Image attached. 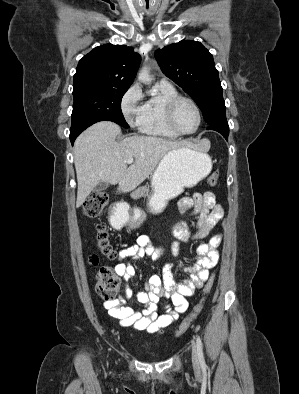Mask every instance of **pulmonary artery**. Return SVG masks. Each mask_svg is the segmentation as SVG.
Returning <instances> with one entry per match:
<instances>
[{"label":"pulmonary artery","instance_id":"obj_1","mask_svg":"<svg viewBox=\"0 0 299 394\" xmlns=\"http://www.w3.org/2000/svg\"><path fill=\"white\" fill-rule=\"evenodd\" d=\"M160 83L165 84V85H171L170 82L165 78L161 79Z\"/></svg>","mask_w":299,"mask_h":394}]
</instances>
